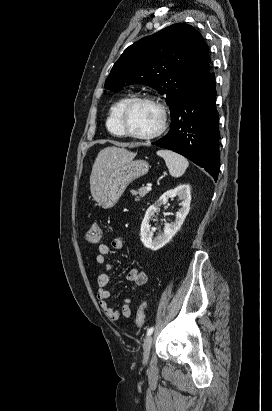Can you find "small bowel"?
<instances>
[{
    "label": "small bowel",
    "instance_id": "small-bowel-1",
    "mask_svg": "<svg viewBox=\"0 0 272 411\" xmlns=\"http://www.w3.org/2000/svg\"><path fill=\"white\" fill-rule=\"evenodd\" d=\"M123 248V241L116 238L112 241L111 245L102 243L98 246V253L96 255V261L98 264L104 267V271L98 276L97 284L98 291L97 297L99 300V305L105 315L112 321L119 319L120 315L125 318L131 315V298L124 300L121 311L112 307L108 300L111 296L110 290L108 289L110 283V273L114 268V262L109 258L111 250H120ZM127 280L133 285V288L138 286H143L148 282V274L141 268H132L127 274Z\"/></svg>",
    "mask_w": 272,
    "mask_h": 411
}]
</instances>
